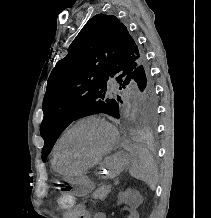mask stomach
<instances>
[{"label":"stomach","instance_id":"stomach-1","mask_svg":"<svg viewBox=\"0 0 211 218\" xmlns=\"http://www.w3.org/2000/svg\"><path fill=\"white\" fill-rule=\"evenodd\" d=\"M129 165V157L124 152H117L109 156L104 162L100 174L103 178H115ZM72 185V192L76 196H85L91 192L95 185L87 176L68 179Z\"/></svg>","mask_w":211,"mask_h":218}]
</instances>
